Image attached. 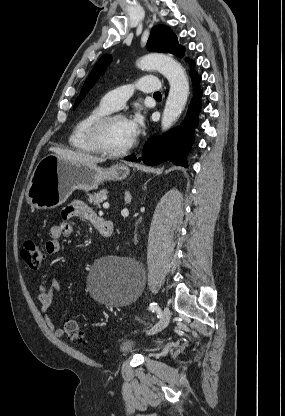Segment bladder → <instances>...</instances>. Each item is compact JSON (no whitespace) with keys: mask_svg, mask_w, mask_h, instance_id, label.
Wrapping results in <instances>:
<instances>
[{"mask_svg":"<svg viewBox=\"0 0 285 416\" xmlns=\"http://www.w3.org/2000/svg\"><path fill=\"white\" fill-rule=\"evenodd\" d=\"M120 348L123 354L130 353L138 348L137 340L133 337H128L120 344Z\"/></svg>","mask_w":285,"mask_h":416,"instance_id":"obj_1","label":"bladder"}]
</instances>
